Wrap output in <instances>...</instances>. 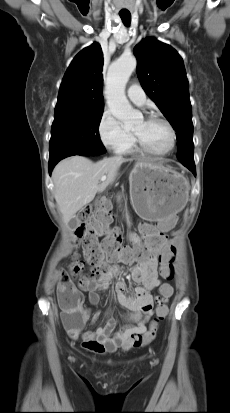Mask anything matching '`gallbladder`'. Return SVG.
<instances>
[{"instance_id": "obj_1", "label": "gallbladder", "mask_w": 230, "mask_h": 413, "mask_svg": "<svg viewBox=\"0 0 230 413\" xmlns=\"http://www.w3.org/2000/svg\"><path fill=\"white\" fill-rule=\"evenodd\" d=\"M69 225H70L71 228L74 229L78 226V222H77V220H72V221H70Z\"/></svg>"}]
</instances>
